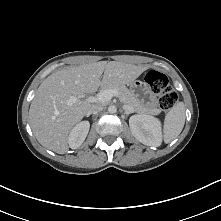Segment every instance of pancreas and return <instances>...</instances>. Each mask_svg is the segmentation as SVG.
Returning <instances> with one entry per match:
<instances>
[{
	"instance_id": "obj_1",
	"label": "pancreas",
	"mask_w": 221,
	"mask_h": 221,
	"mask_svg": "<svg viewBox=\"0 0 221 221\" xmlns=\"http://www.w3.org/2000/svg\"><path fill=\"white\" fill-rule=\"evenodd\" d=\"M108 89L116 90L118 92L120 100L123 103L127 104L131 110H135L140 113H149L154 115L160 113V109L150 108L148 106L142 105L140 101L134 96V94L122 84H111V85L102 86V91Z\"/></svg>"
}]
</instances>
